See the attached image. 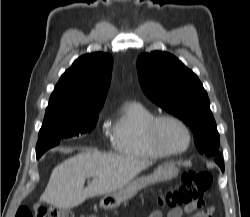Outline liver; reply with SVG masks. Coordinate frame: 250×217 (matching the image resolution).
Wrapping results in <instances>:
<instances>
[{
	"mask_svg": "<svg viewBox=\"0 0 250 217\" xmlns=\"http://www.w3.org/2000/svg\"><path fill=\"white\" fill-rule=\"evenodd\" d=\"M152 163L131 156L81 152L56 166L40 201L71 209L87 198L118 192ZM86 178L92 182L84 188Z\"/></svg>",
	"mask_w": 250,
	"mask_h": 217,
	"instance_id": "obj_1",
	"label": "liver"
}]
</instances>
